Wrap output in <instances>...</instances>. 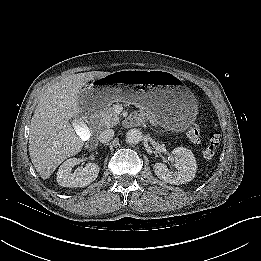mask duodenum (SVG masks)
Instances as JSON below:
<instances>
[{
    "mask_svg": "<svg viewBox=\"0 0 261 261\" xmlns=\"http://www.w3.org/2000/svg\"><path fill=\"white\" fill-rule=\"evenodd\" d=\"M89 126L95 131L100 129V118L98 116H91L88 120Z\"/></svg>",
    "mask_w": 261,
    "mask_h": 261,
    "instance_id": "410a0bca",
    "label": "duodenum"
}]
</instances>
